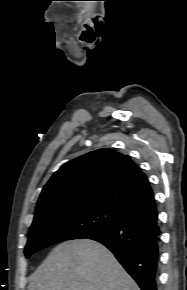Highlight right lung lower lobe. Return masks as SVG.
<instances>
[{
	"label": "right lung lower lobe",
	"mask_w": 187,
	"mask_h": 290,
	"mask_svg": "<svg viewBox=\"0 0 187 290\" xmlns=\"http://www.w3.org/2000/svg\"><path fill=\"white\" fill-rule=\"evenodd\" d=\"M160 236L156 210L131 216L86 238L110 249L141 290H157Z\"/></svg>",
	"instance_id": "right-lung-lower-lobe-1"
}]
</instances>
